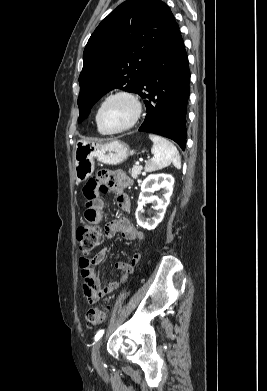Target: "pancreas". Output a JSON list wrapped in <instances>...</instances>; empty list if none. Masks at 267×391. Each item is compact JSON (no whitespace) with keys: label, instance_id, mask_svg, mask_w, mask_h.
I'll list each match as a JSON object with an SVG mask.
<instances>
[{"label":"pancreas","instance_id":"1","mask_svg":"<svg viewBox=\"0 0 267 391\" xmlns=\"http://www.w3.org/2000/svg\"><path fill=\"white\" fill-rule=\"evenodd\" d=\"M142 170V166H133L132 169L129 170V173L131 174L132 178L136 179L138 175L141 174Z\"/></svg>","mask_w":267,"mask_h":391}]
</instances>
